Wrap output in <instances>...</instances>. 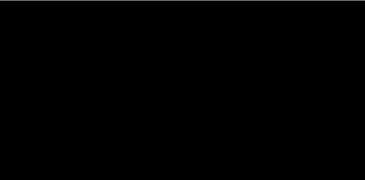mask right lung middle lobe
Wrapping results in <instances>:
<instances>
[{"instance_id":"1","label":"right lung middle lobe","mask_w":365,"mask_h":180,"mask_svg":"<svg viewBox=\"0 0 365 180\" xmlns=\"http://www.w3.org/2000/svg\"><path fill=\"white\" fill-rule=\"evenodd\" d=\"M179 61L178 56H152L128 66L113 82L105 109L127 103L165 102L159 89L161 78Z\"/></svg>"}]
</instances>
